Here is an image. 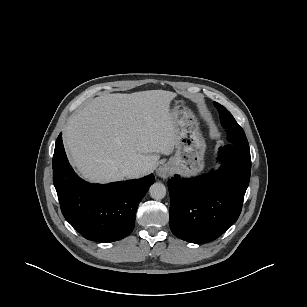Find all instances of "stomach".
<instances>
[{"label": "stomach", "instance_id": "0dacf381", "mask_svg": "<svg viewBox=\"0 0 307 307\" xmlns=\"http://www.w3.org/2000/svg\"><path fill=\"white\" fill-rule=\"evenodd\" d=\"M177 129L175 155L168 164L175 172L194 175L204 169L206 143L199 122L187 107L177 105L170 110Z\"/></svg>", "mask_w": 307, "mask_h": 307}]
</instances>
